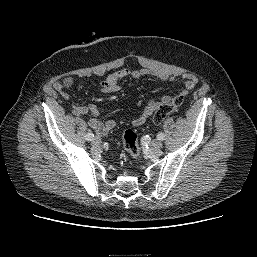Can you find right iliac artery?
I'll use <instances>...</instances> for the list:
<instances>
[{
  "mask_svg": "<svg viewBox=\"0 0 257 257\" xmlns=\"http://www.w3.org/2000/svg\"><path fill=\"white\" fill-rule=\"evenodd\" d=\"M94 134L90 131L85 135L87 141H92L94 139Z\"/></svg>",
  "mask_w": 257,
  "mask_h": 257,
  "instance_id": "1",
  "label": "right iliac artery"
}]
</instances>
